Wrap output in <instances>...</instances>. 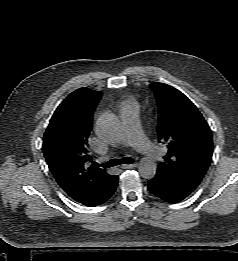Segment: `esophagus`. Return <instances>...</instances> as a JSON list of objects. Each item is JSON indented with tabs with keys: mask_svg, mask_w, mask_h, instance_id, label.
Listing matches in <instances>:
<instances>
[{
	"mask_svg": "<svg viewBox=\"0 0 238 261\" xmlns=\"http://www.w3.org/2000/svg\"><path fill=\"white\" fill-rule=\"evenodd\" d=\"M138 164L137 163H133V164H124V165H121V168L123 169H131V168H135L137 167Z\"/></svg>",
	"mask_w": 238,
	"mask_h": 261,
	"instance_id": "1",
	"label": "esophagus"
}]
</instances>
